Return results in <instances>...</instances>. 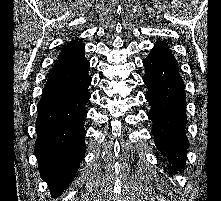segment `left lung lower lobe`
Here are the masks:
<instances>
[{"mask_svg":"<svg viewBox=\"0 0 221 201\" xmlns=\"http://www.w3.org/2000/svg\"><path fill=\"white\" fill-rule=\"evenodd\" d=\"M143 65L146 69L143 81L148 88L145 97L151 105L148 117L153 122L155 145L169 157L174 168H184L189 143L185 134L184 83L178 65L152 54L143 60ZM169 173L172 174L173 169Z\"/></svg>","mask_w":221,"mask_h":201,"instance_id":"obj_1","label":"left lung lower lobe"}]
</instances>
